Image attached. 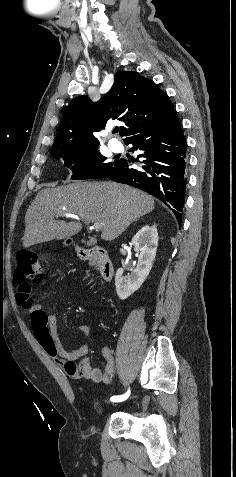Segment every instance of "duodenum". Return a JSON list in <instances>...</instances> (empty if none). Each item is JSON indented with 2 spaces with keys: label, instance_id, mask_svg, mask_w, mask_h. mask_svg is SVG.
Returning a JSON list of instances; mask_svg holds the SVG:
<instances>
[{
  "label": "duodenum",
  "instance_id": "duodenum-1",
  "mask_svg": "<svg viewBox=\"0 0 236 477\" xmlns=\"http://www.w3.org/2000/svg\"><path fill=\"white\" fill-rule=\"evenodd\" d=\"M81 259L96 263L100 276L105 282L110 281L113 275V264L105 249L99 246L91 248L76 246Z\"/></svg>",
  "mask_w": 236,
  "mask_h": 477
}]
</instances>
